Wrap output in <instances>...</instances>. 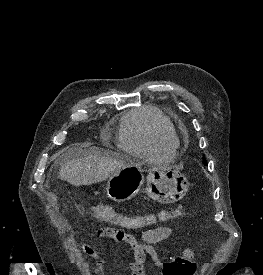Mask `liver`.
Returning a JSON list of instances; mask_svg holds the SVG:
<instances>
[{
  "instance_id": "liver-1",
  "label": "liver",
  "mask_w": 263,
  "mask_h": 275,
  "mask_svg": "<svg viewBox=\"0 0 263 275\" xmlns=\"http://www.w3.org/2000/svg\"><path fill=\"white\" fill-rule=\"evenodd\" d=\"M130 164L126 156L102 154L91 149L65 162L59 178L76 187L91 185L106 180Z\"/></svg>"
}]
</instances>
